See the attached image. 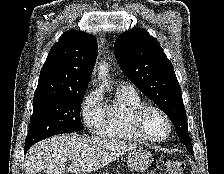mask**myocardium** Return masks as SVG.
Segmentation results:
<instances>
[{"label": "myocardium", "mask_w": 224, "mask_h": 174, "mask_svg": "<svg viewBox=\"0 0 224 174\" xmlns=\"http://www.w3.org/2000/svg\"><path fill=\"white\" fill-rule=\"evenodd\" d=\"M149 111H156L165 119L167 123V132L164 136L153 137L146 132L144 128V117ZM132 125L135 132L147 142H163L171 135L172 132V121L169 115L159 106L152 104L143 103L134 111L132 115Z\"/></svg>", "instance_id": "myocardium-1"}]
</instances>
